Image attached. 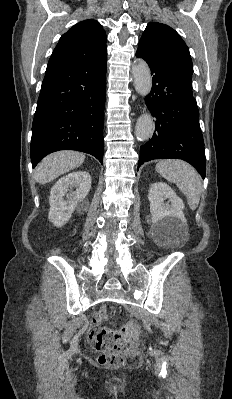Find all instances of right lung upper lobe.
<instances>
[{
    "label": "right lung upper lobe",
    "instance_id": "cb5924a9",
    "mask_svg": "<svg viewBox=\"0 0 232 399\" xmlns=\"http://www.w3.org/2000/svg\"><path fill=\"white\" fill-rule=\"evenodd\" d=\"M107 56L106 34L99 22L87 19L62 35L49 63L96 60Z\"/></svg>",
    "mask_w": 232,
    "mask_h": 399
}]
</instances>
